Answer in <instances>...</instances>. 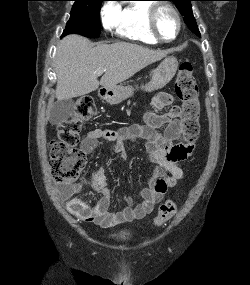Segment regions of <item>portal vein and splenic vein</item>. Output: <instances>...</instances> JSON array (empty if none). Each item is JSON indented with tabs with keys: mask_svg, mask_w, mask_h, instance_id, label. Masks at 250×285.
<instances>
[{
	"mask_svg": "<svg viewBox=\"0 0 250 285\" xmlns=\"http://www.w3.org/2000/svg\"><path fill=\"white\" fill-rule=\"evenodd\" d=\"M105 71H106L105 69L99 70V71L97 72V75H98V76H99V75H102Z\"/></svg>",
	"mask_w": 250,
	"mask_h": 285,
	"instance_id": "18ae733b",
	"label": "portal vein and splenic vein"
}]
</instances>
